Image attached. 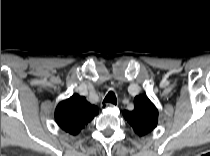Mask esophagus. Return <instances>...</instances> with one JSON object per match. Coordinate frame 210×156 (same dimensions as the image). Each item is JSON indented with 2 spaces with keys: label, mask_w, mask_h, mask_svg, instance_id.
Wrapping results in <instances>:
<instances>
[{
  "label": "esophagus",
  "mask_w": 210,
  "mask_h": 156,
  "mask_svg": "<svg viewBox=\"0 0 210 156\" xmlns=\"http://www.w3.org/2000/svg\"><path fill=\"white\" fill-rule=\"evenodd\" d=\"M100 107H101V109L105 110L108 108H113V107H115V105L112 103H101Z\"/></svg>",
  "instance_id": "obj_1"
}]
</instances>
